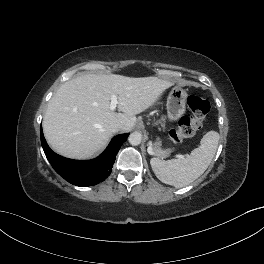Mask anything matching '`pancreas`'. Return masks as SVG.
Wrapping results in <instances>:
<instances>
[{
	"instance_id": "1",
	"label": "pancreas",
	"mask_w": 264,
	"mask_h": 264,
	"mask_svg": "<svg viewBox=\"0 0 264 264\" xmlns=\"http://www.w3.org/2000/svg\"><path fill=\"white\" fill-rule=\"evenodd\" d=\"M160 146H161L160 142H155L153 151L157 156H164L166 152Z\"/></svg>"
}]
</instances>
